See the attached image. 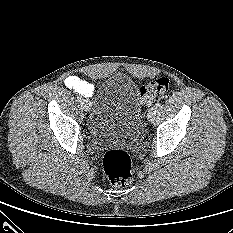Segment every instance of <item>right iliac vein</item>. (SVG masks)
Returning <instances> with one entry per match:
<instances>
[{
	"instance_id": "right-iliac-vein-1",
	"label": "right iliac vein",
	"mask_w": 233,
	"mask_h": 233,
	"mask_svg": "<svg viewBox=\"0 0 233 233\" xmlns=\"http://www.w3.org/2000/svg\"><path fill=\"white\" fill-rule=\"evenodd\" d=\"M81 104L85 111H90L91 104L88 100L84 99Z\"/></svg>"
}]
</instances>
